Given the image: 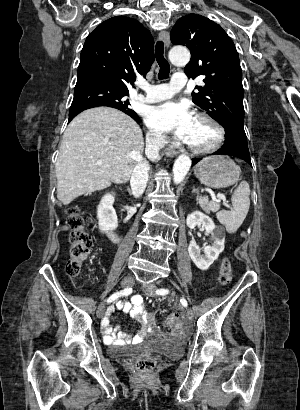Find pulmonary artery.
Wrapping results in <instances>:
<instances>
[{"instance_id": "e3ab8cb5", "label": "pulmonary artery", "mask_w": 300, "mask_h": 410, "mask_svg": "<svg viewBox=\"0 0 300 410\" xmlns=\"http://www.w3.org/2000/svg\"><path fill=\"white\" fill-rule=\"evenodd\" d=\"M187 84V76L184 73H175L169 84L152 85L141 83L140 87L145 95H138V100L145 103L160 102L172 97Z\"/></svg>"}]
</instances>
